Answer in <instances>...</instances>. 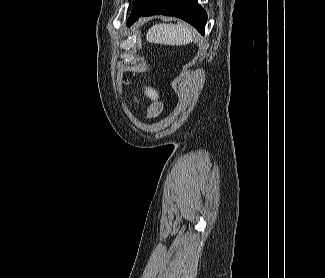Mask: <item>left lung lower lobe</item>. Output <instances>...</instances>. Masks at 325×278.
<instances>
[{"label": "left lung lower lobe", "mask_w": 325, "mask_h": 278, "mask_svg": "<svg viewBox=\"0 0 325 278\" xmlns=\"http://www.w3.org/2000/svg\"><path fill=\"white\" fill-rule=\"evenodd\" d=\"M133 6L127 21L128 26L141 16L162 14L178 17L204 34L207 15L197 0H133Z\"/></svg>", "instance_id": "0a47b994"}]
</instances>
